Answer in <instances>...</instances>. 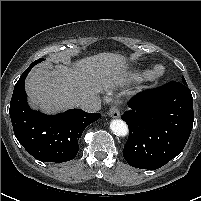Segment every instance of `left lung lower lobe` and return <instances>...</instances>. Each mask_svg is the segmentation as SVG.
<instances>
[{"label":"left lung lower lobe","mask_w":201,"mask_h":201,"mask_svg":"<svg viewBox=\"0 0 201 201\" xmlns=\"http://www.w3.org/2000/svg\"><path fill=\"white\" fill-rule=\"evenodd\" d=\"M122 119L129 127L123 156L131 166L158 169L184 149L194 121L193 98L185 82L171 81L144 91Z\"/></svg>","instance_id":"left-lung-lower-lobe-1"}]
</instances>
